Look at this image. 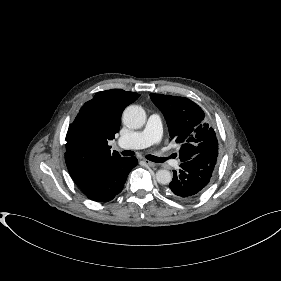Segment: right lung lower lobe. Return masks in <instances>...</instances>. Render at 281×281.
<instances>
[{"mask_svg": "<svg viewBox=\"0 0 281 281\" xmlns=\"http://www.w3.org/2000/svg\"><path fill=\"white\" fill-rule=\"evenodd\" d=\"M137 163L136 157H122L108 165L93 183L81 190L91 200L110 201L122 191L128 174Z\"/></svg>", "mask_w": 281, "mask_h": 281, "instance_id": "obj_1", "label": "right lung lower lobe"}]
</instances>
